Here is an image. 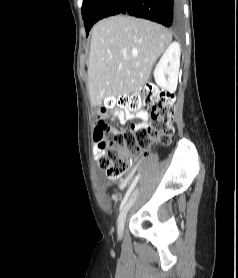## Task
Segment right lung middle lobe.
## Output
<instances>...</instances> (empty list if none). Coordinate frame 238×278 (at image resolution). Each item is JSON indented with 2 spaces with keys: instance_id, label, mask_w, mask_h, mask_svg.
Returning <instances> with one entry per match:
<instances>
[{
  "instance_id": "1",
  "label": "right lung middle lobe",
  "mask_w": 238,
  "mask_h": 278,
  "mask_svg": "<svg viewBox=\"0 0 238 278\" xmlns=\"http://www.w3.org/2000/svg\"><path fill=\"white\" fill-rule=\"evenodd\" d=\"M97 0H84V3L82 5V17L85 19L86 13L89 10V8L96 2Z\"/></svg>"
}]
</instances>
